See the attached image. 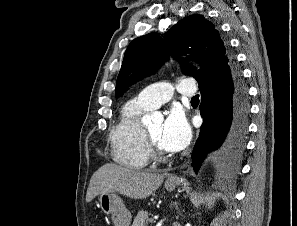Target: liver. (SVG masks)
<instances>
[{"mask_svg":"<svg viewBox=\"0 0 297 226\" xmlns=\"http://www.w3.org/2000/svg\"><path fill=\"white\" fill-rule=\"evenodd\" d=\"M165 175L129 169L113 163L101 166L91 177L86 202L102 193L118 192L132 199H144L156 191Z\"/></svg>","mask_w":297,"mask_h":226,"instance_id":"6515ba94","label":"liver"}]
</instances>
